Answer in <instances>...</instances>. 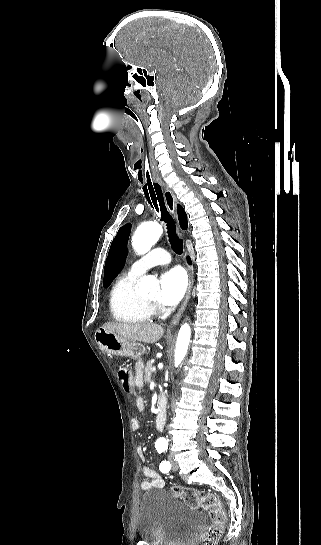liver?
Instances as JSON below:
<instances>
[{"label": "liver", "instance_id": "obj_1", "mask_svg": "<svg viewBox=\"0 0 321 545\" xmlns=\"http://www.w3.org/2000/svg\"><path fill=\"white\" fill-rule=\"evenodd\" d=\"M103 329L115 333L118 337L140 343H157L164 335L163 327L155 323H105Z\"/></svg>", "mask_w": 321, "mask_h": 545}]
</instances>
